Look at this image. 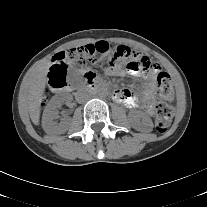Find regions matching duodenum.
<instances>
[{
    "mask_svg": "<svg viewBox=\"0 0 207 207\" xmlns=\"http://www.w3.org/2000/svg\"><path fill=\"white\" fill-rule=\"evenodd\" d=\"M86 82L89 85V89L91 91H97L101 89V85L95 80L94 76L91 74L87 75Z\"/></svg>",
    "mask_w": 207,
    "mask_h": 207,
    "instance_id": "410a0bca",
    "label": "duodenum"
}]
</instances>
